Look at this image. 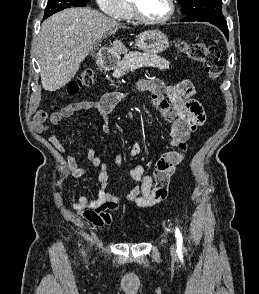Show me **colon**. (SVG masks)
<instances>
[{
    "label": "colon",
    "instance_id": "5ec220e1",
    "mask_svg": "<svg viewBox=\"0 0 259 294\" xmlns=\"http://www.w3.org/2000/svg\"><path fill=\"white\" fill-rule=\"evenodd\" d=\"M180 50L190 59L200 62L213 79H219L223 71L221 53L215 45H207L203 42L179 41ZM94 82V73L91 70H84L77 76V79L70 83L68 93L77 94L81 89L90 87Z\"/></svg>",
    "mask_w": 259,
    "mask_h": 294
}]
</instances>
